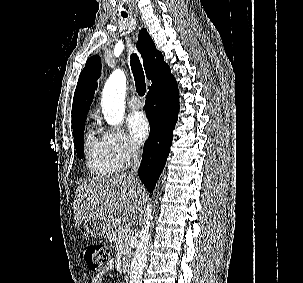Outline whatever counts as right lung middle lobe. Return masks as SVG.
Here are the masks:
<instances>
[{"label":"right lung middle lobe","mask_w":303,"mask_h":283,"mask_svg":"<svg viewBox=\"0 0 303 283\" xmlns=\"http://www.w3.org/2000/svg\"><path fill=\"white\" fill-rule=\"evenodd\" d=\"M85 129V122L73 127L74 145L79 159L83 158L84 142L83 134Z\"/></svg>","instance_id":"1"}]
</instances>
